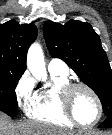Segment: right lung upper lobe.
Segmentation results:
<instances>
[{"instance_id":"1","label":"right lung upper lobe","mask_w":112,"mask_h":135,"mask_svg":"<svg viewBox=\"0 0 112 135\" xmlns=\"http://www.w3.org/2000/svg\"><path fill=\"white\" fill-rule=\"evenodd\" d=\"M36 37L37 28L32 23L20 25L11 20L0 24V74L24 73L27 51Z\"/></svg>"}]
</instances>
